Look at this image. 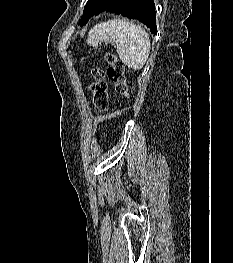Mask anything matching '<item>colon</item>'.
<instances>
[{
	"label": "colon",
	"mask_w": 233,
	"mask_h": 263,
	"mask_svg": "<svg viewBox=\"0 0 233 263\" xmlns=\"http://www.w3.org/2000/svg\"><path fill=\"white\" fill-rule=\"evenodd\" d=\"M105 60L108 63L107 70L92 68V82L90 89L92 92V103L97 111H104L108 108V93L106 77L114 83L117 94L122 99L129 97L127 79L122 62L112 53H105Z\"/></svg>",
	"instance_id": "1"
}]
</instances>
